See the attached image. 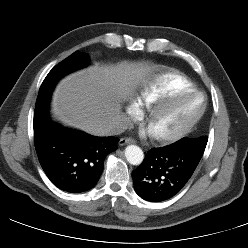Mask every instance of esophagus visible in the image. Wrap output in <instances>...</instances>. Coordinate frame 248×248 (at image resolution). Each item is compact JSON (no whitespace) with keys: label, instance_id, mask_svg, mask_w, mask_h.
Returning <instances> with one entry per match:
<instances>
[{"label":"esophagus","instance_id":"34e87169","mask_svg":"<svg viewBox=\"0 0 248 248\" xmlns=\"http://www.w3.org/2000/svg\"><path fill=\"white\" fill-rule=\"evenodd\" d=\"M136 141L132 138H121L120 141H119V145L120 146H123V145H126V144H133L135 143Z\"/></svg>","mask_w":248,"mask_h":248}]
</instances>
